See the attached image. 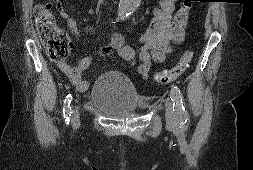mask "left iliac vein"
<instances>
[{
    "label": "left iliac vein",
    "mask_w": 253,
    "mask_h": 170,
    "mask_svg": "<svg viewBox=\"0 0 253 170\" xmlns=\"http://www.w3.org/2000/svg\"><path fill=\"white\" fill-rule=\"evenodd\" d=\"M165 117L168 126L175 127L177 125V118L171 101L166 102Z\"/></svg>",
    "instance_id": "1"
}]
</instances>
